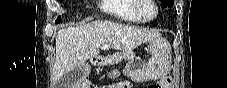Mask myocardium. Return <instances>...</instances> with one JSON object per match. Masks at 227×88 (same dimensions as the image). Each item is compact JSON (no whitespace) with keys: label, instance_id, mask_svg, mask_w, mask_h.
Returning a JSON list of instances; mask_svg holds the SVG:
<instances>
[{"label":"myocardium","instance_id":"1","mask_svg":"<svg viewBox=\"0 0 227 88\" xmlns=\"http://www.w3.org/2000/svg\"><path fill=\"white\" fill-rule=\"evenodd\" d=\"M145 6H150L154 9V13L151 16L143 15L142 8ZM134 11L143 22H152L159 15V8L155 0H136Z\"/></svg>","mask_w":227,"mask_h":88}]
</instances>
